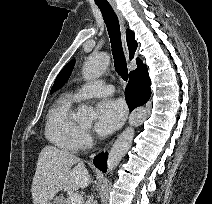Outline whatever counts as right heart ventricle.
Segmentation results:
<instances>
[{
    "mask_svg": "<svg viewBox=\"0 0 212 204\" xmlns=\"http://www.w3.org/2000/svg\"><path fill=\"white\" fill-rule=\"evenodd\" d=\"M77 99L66 94L51 107L45 126L46 138L64 151H76L80 148L82 127L73 117V107Z\"/></svg>",
    "mask_w": 212,
    "mask_h": 204,
    "instance_id": "1",
    "label": "right heart ventricle"
}]
</instances>
